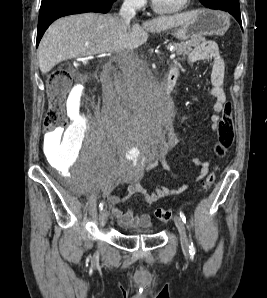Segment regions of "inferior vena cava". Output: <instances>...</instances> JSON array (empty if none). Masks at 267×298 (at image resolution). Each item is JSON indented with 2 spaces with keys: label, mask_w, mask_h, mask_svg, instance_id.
Masks as SVG:
<instances>
[{
  "label": "inferior vena cava",
  "mask_w": 267,
  "mask_h": 298,
  "mask_svg": "<svg viewBox=\"0 0 267 298\" xmlns=\"http://www.w3.org/2000/svg\"><path fill=\"white\" fill-rule=\"evenodd\" d=\"M135 6V0H124V3L119 13L122 20V27H128L131 19L135 17ZM134 48L135 47L133 46H129L116 52V59L120 64L122 74L125 78H129V76L135 68L137 58L134 53Z\"/></svg>",
  "instance_id": "inferior-vena-cava-1"
}]
</instances>
